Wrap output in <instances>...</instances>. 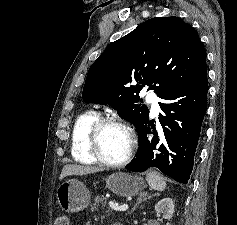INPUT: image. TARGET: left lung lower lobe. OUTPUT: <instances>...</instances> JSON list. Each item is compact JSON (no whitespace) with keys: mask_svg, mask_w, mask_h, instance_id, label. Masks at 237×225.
<instances>
[{"mask_svg":"<svg viewBox=\"0 0 237 225\" xmlns=\"http://www.w3.org/2000/svg\"><path fill=\"white\" fill-rule=\"evenodd\" d=\"M207 77L194 87H184L160 98V127L148 119L138 130L136 158L125 168L144 172L158 168L174 180L187 183L207 109ZM152 134L151 138L147 135Z\"/></svg>","mask_w":237,"mask_h":225,"instance_id":"0a47b994","label":"left lung lower lobe"}]
</instances>
